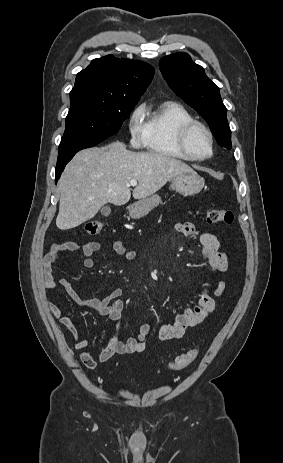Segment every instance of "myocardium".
I'll list each match as a JSON object with an SVG mask.
<instances>
[{
  "mask_svg": "<svg viewBox=\"0 0 283 463\" xmlns=\"http://www.w3.org/2000/svg\"><path fill=\"white\" fill-rule=\"evenodd\" d=\"M196 128L202 129L207 134V136L209 138V141H210V153L207 156H204V157L197 156V155L193 154V152L191 151V149L189 147V143H188L189 136L192 133V131L194 129H196ZM178 146H179L180 150L182 151V153L186 157H188L190 160H193V161L208 160L213 156L214 151H215L214 135H213L211 129L206 124H204L203 122L197 121V120H193V121L185 124L180 129L179 134H178Z\"/></svg>",
  "mask_w": 283,
  "mask_h": 463,
  "instance_id": "1",
  "label": "myocardium"
}]
</instances>
